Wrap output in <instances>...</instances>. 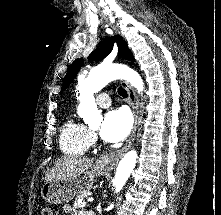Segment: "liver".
<instances>
[{
	"label": "liver",
	"mask_w": 221,
	"mask_h": 215,
	"mask_svg": "<svg viewBox=\"0 0 221 215\" xmlns=\"http://www.w3.org/2000/svg\"><path fill=\"white\" fill-rule=\"evenodd\" d=\"M93 158L81 156H64L58 159L54 166L47 171L45 182L58 179L67 180L76 177L78 174L91 168Z\"/></svg>",
	"instance_id": "1"
}]
</instances>
